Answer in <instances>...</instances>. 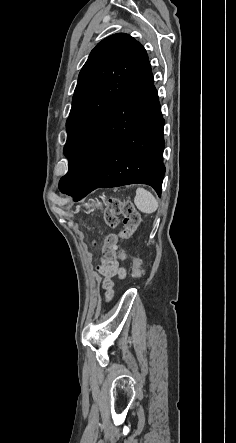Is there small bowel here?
<instances>
[{"mask_svg": "<svg viewBox=\"0 0 236 443\" xmlns=\"http://www.w3.org/2000/svg\"><path fill=\"white\" fill-rule=\"evenodd\" d=\"M97 269L100 272V274L104 277L103 286L107 292V297L111 298L112 278L115 276L124 278L126 275V271L124 268L119 266L116 260H106L105 258L102 260L101 264L98 266Z\"/></svg>", "mask_w": 236, "mask_h": 443, "instance_id": "small-bowel-1", "label": "small bowel"}]
</instances>
